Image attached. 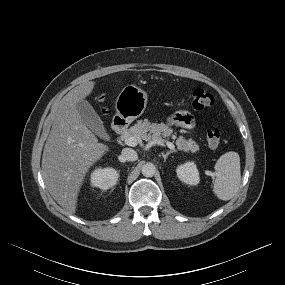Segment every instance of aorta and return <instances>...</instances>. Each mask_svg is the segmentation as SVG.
<instances>
[{"label": "aorta", "instance_id": "1", "mask_svg": "<svg viewBox=\"0 0 285 285\" xmlns=\"http://www.w3.org/2000/svg\"><path fill=\"white\" fill-rule=\"evenodd\" d=\"M156 172L154 164L148 162L142 166V174L145 177H153Z\"/></svg>", "mask_w": 285, "mask_h": 285}]
</instances>
